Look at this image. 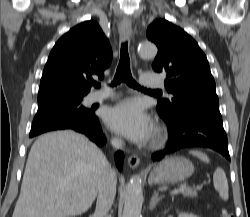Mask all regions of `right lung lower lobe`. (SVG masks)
Here are the masks:
<instances>
[{"label":"right lung lower lobe","mask_w":250,"mask_h":217,"mask_svg":"<svg viewBox=\"0 0 250 217\" xmlns=\"http://www.w3.org/2000/svg\"><path fill=\"white\" fill-rule=\"evenodd\" d=\"M69 129L85 134L86 136L89 137L90 140H92L99 146L105 144L106 142V138L102 133V129L100 127L99 120L97 117L95 121L88 126H79V127L69 128ZM123 159H124V155L122 152H117L115 154V161L119 170L122 169Z\"/></svg>","instance_id":"right-lung-lower-lobe-1"}]
</instances>
